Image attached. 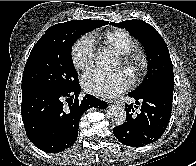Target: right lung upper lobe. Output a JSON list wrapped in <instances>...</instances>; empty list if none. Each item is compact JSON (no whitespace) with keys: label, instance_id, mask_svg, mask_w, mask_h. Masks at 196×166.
I'll return each instance as SVG.
<instances>
[{"label":"right lung upper lobe","instance_id":"obj_1","mask_svg":"<svg viewBox=\"0 0 196 166\" xmlns=\"http://www.w3.org/2000/svg\"><path fill=\"white\" fill-rule=\"evenodd\" d=\"M87 20L90 21V22H100V23H104L105 25L108 24V22H107V21H104V20H90V19H87ZM52 27H54V26H52ZM52 27H50L49 29H51Z\"/></svg>","mask_w":196,"mask_h":166}]
</instances>
